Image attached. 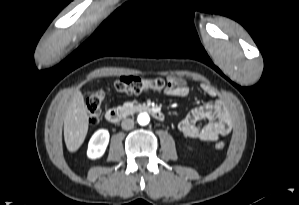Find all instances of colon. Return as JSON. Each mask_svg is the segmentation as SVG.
Instances as JSON below:
<instances>
[{
	"instance_id": "1",
	"label": "colon",
	"mask_w": 299,
	"mask_h": 205,
	"mask_svg": "<svg viewBox=\"0 0 299 205\" xmlns=\"http://www.w3.org/2000/svg\"><path fill=\"white\" fill-rule=\"evenodd\" d=\"M174 86L173 81L160 77L145 79L138 76H122L115 83L116 90L124 94H138L146 89L162 91ZM105 95L103 90H98L91 94L86 101L88 120L91 124H95L99 120ZM224 147L225 143L222 141L215 144V148L218 150H222Z\"/></svg>"
}]
</instances>
